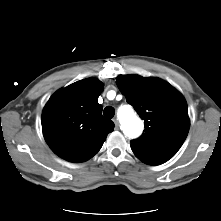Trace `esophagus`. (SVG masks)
Instances as JSON below:
<instances>
[{
  "mask_svg": "<svg viewBox=\"0 0 221 221\" xmlns=\"http://www.w3.org/2000/svg\"><path fill=\"white\" fill-rule=\"evenodd\" d=\"M113 122H114V124H115V128H116V129H119L120 124H119L118 119H117V118H115V119L113 120Z\"/></svg>",
  "mask_w": 221,
  "mask_h": 221,
  "instance_id": "1",
  "label": "esophagus"
}]
</instances>
